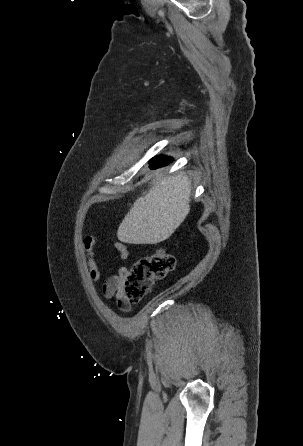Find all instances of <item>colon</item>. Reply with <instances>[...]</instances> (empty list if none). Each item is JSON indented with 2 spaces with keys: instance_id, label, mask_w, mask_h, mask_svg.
<instances>
[{
  "instance_id": "5ec220e1",
  "label": "colon",
  "mask_w": 303,
  "mask_h": 446,
  "mask_svg": "<svg viewBox=\"0 0 303 446\" xmlns=\"http://www.w3.org/2000/svg\"><path fill=\"white\" fill-rule=\"evenodd\" d=\"M175 267L174 257L160 249L134 262L127 274L124 297L127 303L141 301L154 282L163 279Z\"/></svg>"
}]
</instances>
